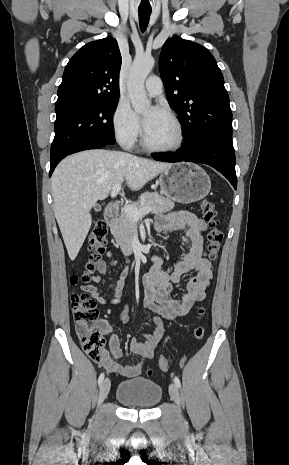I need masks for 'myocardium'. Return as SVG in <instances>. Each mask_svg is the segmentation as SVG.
Returning <instances> with one entry per match:
<instances>
[{
    "instance_id": "1",
    "label": "myocardium",
    "mask_w": 289,
    "mask_h": 465,
    "mask_svg": "<svg viewBox=\"0 0 289 465\" xmlns=\"http://www.w3.org/2000/svg\"><path fill=\"white\" fill-rule=\"evenodd\" d=\"M161 111L164 114H166L170 118V120L173 122L176 128V131H177V140L175 141V143L169 146H156V145L151 144L147 140L146 133L144 130L142 134V145L146 150L151 151V152H156V153H168V152L177 151L183 146L184 141H185V132H184L183 125L180 119L177 117V115L169 108H162Z\"/></svg>"
}]
</instances>
